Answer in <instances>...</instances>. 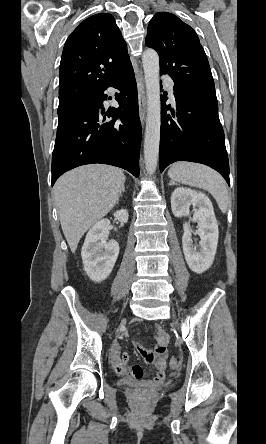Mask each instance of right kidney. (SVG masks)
<instances>
[{"mask_svg": "<svg viewBox=\"0 0 266 444\" xmlns=\"http://www.w3.org/2000/svg\"><path fill=\"white\" fill-rule=\"evenodd\" d=\"M114 217L126 223L128 211L121 209L114 213ZM110 221L102 219L91 227L86 235L81 255L84 270L87 276L94 282L105 280L113 270L119 254V245L116 241L107 242Z\"/></svg>", "mask_w": 266, "mask_h": 444, "instance_id": "ca27d5eb", "label": "right kidney"}]
</instances>
